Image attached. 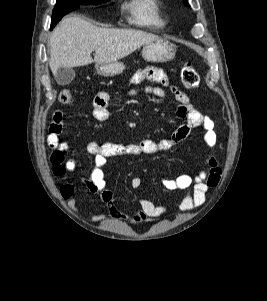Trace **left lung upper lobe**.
Returning a JSON list of instances; mask_svg holds the SVG:
<instances>
[{"instance_id":"obj_1","label":"left lung upper lobe","mask_w":267,"mask_h":301,"mask_svg":"<svg viewBox=\"0 0 267 301\" xmlns=\"http://www.w3.org/2000/svg\"><path fill=\"white\" fill-rule=\"evenodd\" d=\"M186 4H188V1L187 0H183Z\"/></svg>"}]
</instances>
